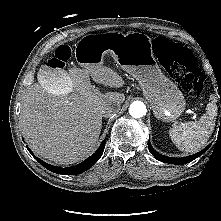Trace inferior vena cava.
Instances as JSON below:
<instances>
[{"instance_id":"602c4592","label":"inferior vena cava","mask_w":221,"mask_h":221,"mask_svg":"<svg viewBox=\"0 0 221 221\" xmlns=\"http://www.w3.org/2000/svg\"><path fill=\"white\" fill-rule=\"evenodd\" d=\"M120 110L119 104H110L102 108L101 113L103 117H110L116 113H118Z\"/></svg>"}]
</instances>
